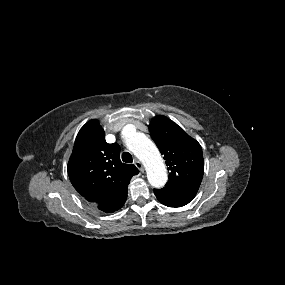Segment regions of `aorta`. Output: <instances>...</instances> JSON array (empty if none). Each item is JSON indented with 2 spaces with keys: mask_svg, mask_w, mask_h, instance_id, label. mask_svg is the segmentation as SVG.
<instances>
[{
  "mask_svg": "<svg viewBox=\"0 0 285 285\" xmlns=\"http://www.w3.org/2000/svg\"><path fill=\"white\" fill-rule=\"evenodd\" d=\"M130 132L124 131L125 141L129 150L145 165L148 182L154 188H161L167 182V172L161 154L155 144L143 133L129 126Z\"/></svg>",
  "mask_w": 285,
  "mask_h": 285,
  "instance_id": "1",
  "label": "aorta"
}]
</instances>
